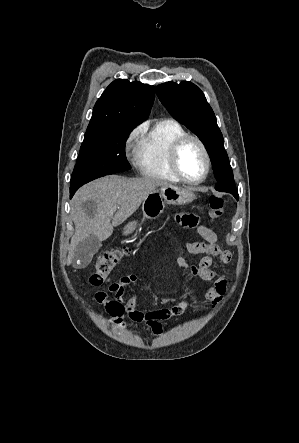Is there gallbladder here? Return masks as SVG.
<instances>
[{
	"label": "gallbladder",
	"instance_id": "gallbladder-1",
	"mask_svg": "<svg viewBox=\"0 0 299 443\" xmlns=\"http://www.w3.org/2000/svg\"><path fill=\"white\" fill-rule=\"evenodd\" d=\"M101 246L102 243L96 236L91 235L85 238L75 248L74 261H78L81 266H86Z\"/></svg>",
	"mask_w": 299,
	"mask_h": 443
}]
</instances>
